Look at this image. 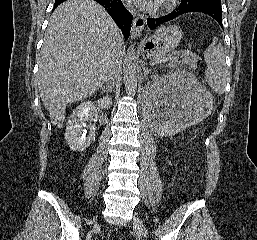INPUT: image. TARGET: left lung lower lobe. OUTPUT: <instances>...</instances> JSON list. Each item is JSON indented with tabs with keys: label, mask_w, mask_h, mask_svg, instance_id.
<instances>
[{
	"label": "left lung lower lobe",
	"mask_w": 257,
	"mask_h": 240,
	"mask_svg": "<svg viewBox=\"0 0 257 240\" xmlns=\"http://www.w3.org/2000/svg\"><path fill=\"white\" fill-rule=\"evenodd\" d=\"M192 12L206 14L215 19L222 27V8L221 2L219 1H208L195 5L185 4L181 1L180 5L174 11L159 18H149L147 19V24L150 29H154L165 22Z\"/></svg>",
	"instance_id": "1"
}]
</instances>
